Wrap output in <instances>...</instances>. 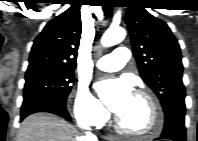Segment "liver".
Returning a JSON list of instances; mask_svg holds the SVG:
<instances>
[{"label": "liver", "instance_id": "liver-1", "mask_svg": "<svg viewBox=\"0 0 198 141\" xmlns=\"http://www.w3.org/2000/svg\"><path fill=\"white\" fill-rule=\"evenodd\" d=\"M77 130L50 113H36L24 119L17 141H79Z\"/></svg>", "mask_w": 198, "mask_h": 141}]
</instances>
